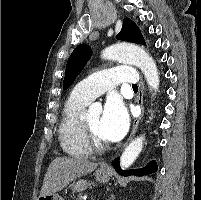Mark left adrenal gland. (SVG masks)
Masks as SVG:
<instances>
[{
	"label": "left adrenal gland",
	"instance_id": "left-adrenal-gland-1",
	"mask_svg": "<svg viewBox=\"0 0 201 200\" xmlns=\"http://www.w3.org/2000/svg\"><path fill=\"white\" fill-rule=\"evenodd\" d=\"M109 200H115L114 195H111Z\"/></svg>",
	"mask_w": 201,
	"mask_h": 200
}]
</instances>
